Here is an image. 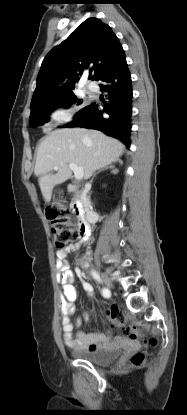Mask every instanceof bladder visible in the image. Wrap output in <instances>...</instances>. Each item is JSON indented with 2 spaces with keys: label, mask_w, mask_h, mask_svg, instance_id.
I'll return each mask as SVG.
<instances>
[{
  "label": "bladder",
  "mask_w": 187,
  "mask_h": 415,
  "mask_svg": "<svg viewBox=\"0 0 187 415\" xmlns=\"http://www.w3.org/2000/svg\"><path fill=\"white\" fill-rule=\"evenodd\" d=\"M122 351L121 347L94 351L74 350L73 355L92 364L106 366L112 364L121 355Z\"/></svg>",
  "instance_id": "bladder-1"
}]
</instances>
